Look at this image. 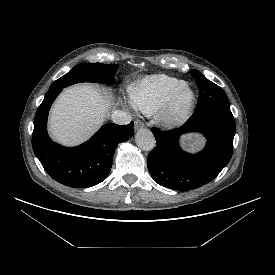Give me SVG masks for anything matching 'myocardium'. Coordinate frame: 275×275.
<instances>
[{"label": "myocardium", "mask_w": 275, "mask_h": 275, "mask_svg": "<svg viewBox=\"0 0 275 275\" xmlns=\"http://www.w3.org/2000/svg\"><path fill=\"white\" fill-rule=\"evenodd\" d=\"M184 93L188 99L184 104L180 100ZM196 106V94L187 84L176 89L157 110V122L166 129L183 126L193 115Z\"/></svg>", "instance_id": "obj_1"}]
</instances>
